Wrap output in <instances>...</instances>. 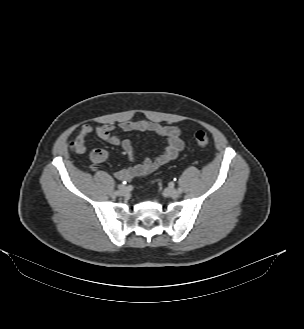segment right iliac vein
<instances>
[{
    "label": "right iliac vein",
    "mask_w": 304,
    "mask_h": 329,
    "mask_svg": "<svg viewBox=\"0 0 304 329\" xmlns=\"http://www.w3.org/2000/svg\"><path fill=\"white\" fill-rule=\"evenodd\" d=\"M128 194V189L125 186H120L119 187V195L121 196H126Z\"/></svg>",
    "instance_id": "63e3f726"
}]
</instances>
